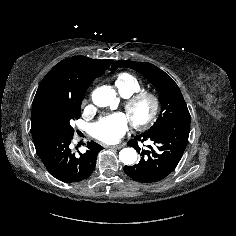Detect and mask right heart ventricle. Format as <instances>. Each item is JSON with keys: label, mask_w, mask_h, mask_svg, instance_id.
<instances>
[{"label": "right heart ventricle", "mask_w": 236, "mask_h": 236, "mask_svg": "<svg viewBox=\"0 0 236 236\" xmlns=\"http://www.w3.org/2000/svg\"><path fill=\"white\" fill-rule=\"evenodd\" d=\"M114 85L123 97H129L143 89L141 81L136 76L127 72L118 74L114 80Z\"/></svg>", "instance_id": "right-heart-ventricle-1"}]
</instances>
